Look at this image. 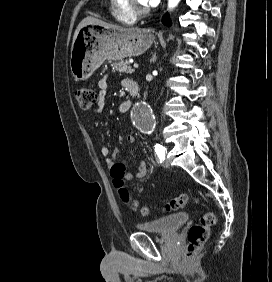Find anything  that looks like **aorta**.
I'll list each match as a JSON object with an SVG mask.
<instances>
[{"instance_id": "1", "label": "aorta", "mask_w": 272, "mask_h": 282, "mask_svg": "<svg viewBox=\"0 0 272 282\" xmlns=\"http://www.w3.org/2000/svg\"><path fill=\"white\" fill-rule=\"evenodd\" d=\"M180 0H168V8H175ZM153 112L149 104L138 102L131 110V120L134 126L141 132H149L152 125Z\"/></svg>"}]
</instances>
